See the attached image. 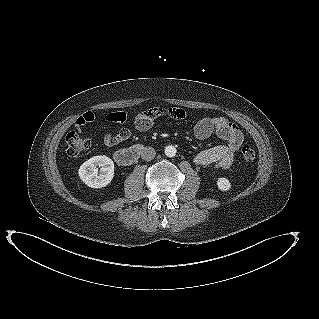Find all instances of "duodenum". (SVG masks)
Instances as JSON below:
<instances>
[{"instance_id": "1", "label": "duodenum", "mask_w": 319, "mask_h": 319, "mask_svg": "<svg viewBox=\"0 0 319 319\" xmlns=\"http://www.w3.org/2000/svg\"><path fill=\"white\" fill-rule=\"evenodd\" d=\"M143 149V145L136 144L126 149L117 150L114 154V159L120 165H131L139 158Z\"/></svg>"}]
</instances>
